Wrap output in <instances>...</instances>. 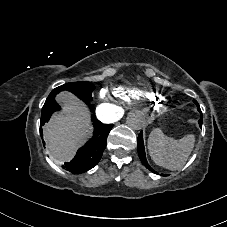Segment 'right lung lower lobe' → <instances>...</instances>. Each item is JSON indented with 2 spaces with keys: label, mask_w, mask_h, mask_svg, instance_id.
I'll use <instances>...</instances> for the list:
<instances>
[{
  "label": "right lung lower lobe",
  "mask_w": 227,
  "mask_h": 227,
  "mask_svg": "<svg viewBox=\"0 0 227 227\" xmlns=\"http://www.w3.org/2000/svg\"><path fill=\"white\" fill-rule=\"evenodd\" d=\"M85 103L89 104V101H85ZM58 110H60V106L57 104L56 101H54L50 104L48 110L42 113L40 120L41 137V127L46 122H48L51 115ZM92 121L94 126L93 137L77 151L75 157L70 162H66L64 166H62L64 169L72 173H83L96 166L100 161L102 153L106 147L107 137L113 125L103 124L100 121L96 120L94 116L92 117Z\"/></svg>",
  "instance_id": "obj_1"
}]
</instances>
